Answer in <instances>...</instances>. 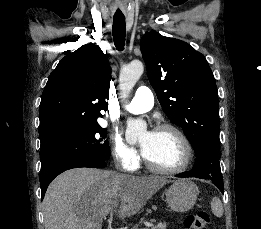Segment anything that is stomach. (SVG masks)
I'll return each mask as SVG.
<instances>
[{"label": "stomach", "mask_w": 261, "mask_h": 229, "mask_svg": "<svg viewBox=\"0 0 261 229\" xmlns=\"http://www.w3.org/2000/svg\"><path fill=\"white\" fill-rule=\"evenodd\" d=\"M165 195L172 211L186 213L194 207L199 191L197 185L187 179H181V181H174L169 189H165Z\"/></svg>", "instance_id": "0dacf381"}]
</instances>
